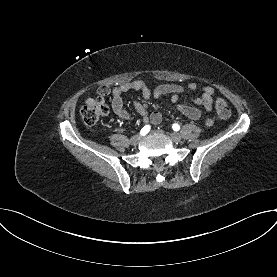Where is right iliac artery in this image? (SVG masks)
<instances>
[{
    "mask_svg": "<svg viewBox=\"0 0 277 277\" xmlns=\"http://www.w3.org/2000/svg\"><path fill=\"white\" fill-rule=\"evenodd\" d=\"M150 130V126L149 125H146L144 126L142 129H141V135H146Z\"/></svg>",
    "mask_w": 277,
    "mask_h": 277,
    "instance_id": "obj_1",
    "label": "right iliac artery"
}]
</instances>
